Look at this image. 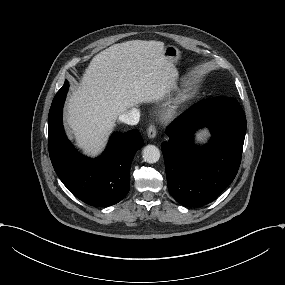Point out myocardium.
Segmentation results:
<instances>
[{
    "mask_svg": "<svg viewBox=\"0 0 285 285\" xmlns=\"http://www.w3.org/2000/svg\"><path fill=\"white\" fill-rule=\"evenodd\" d=\"M184 99H185L184 95H180L175 99L173 104L165 112V115H164L165 119L171 120L177 116L179 108L182 105V103L184 102Z\"/></svg>",
    "mask_w": 285,
    "mask_h": 285,
    "instance_id": "obj_1",
    "label": "myocardium"
}]
</instances>
